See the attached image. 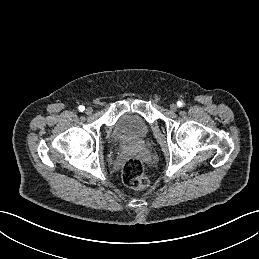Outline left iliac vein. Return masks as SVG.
<instances>
[{"mask_svg":"<svg viewBox=\"0 0 259 259\" xmlns=\"http://www.w3.org/2000/svg\"><path fill=\"white\" fill-rule=\"evenodd\" d=\"M170 109L172 111H176L177 110V105L175 103L170 104Z\"/></svg>","mask_w":259,"mask_h":259,"instance_id":"obj_1","label":"left iliac vein"}]
</instances>
